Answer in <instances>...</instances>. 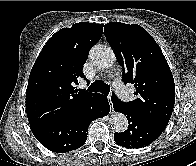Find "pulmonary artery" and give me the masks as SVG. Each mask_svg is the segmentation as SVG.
Listing matches in <instances>:
<instances>
[{
    "label": "pulmonary artery",
    "mask_w": 196,
    "mask_h": 166,
    "mask_svg": "<svg viewBox=\"0 0 196 166\" xmlns=\"http://www.w3.org/2000/svg\"><path fill=\"white\" fill-rule=\"evenodd\" d=\"M119 93H120V96H121L122 98H126V97H127V92H126V90H125L124 87H120V88H119Z\"/></svg>",
    "instance_id": "pulmonary-artery-1"
}]
</instances>
